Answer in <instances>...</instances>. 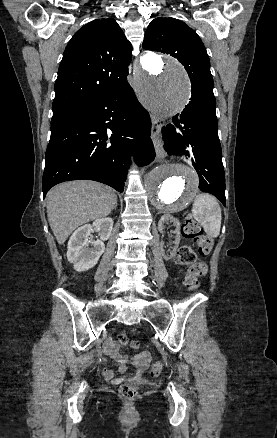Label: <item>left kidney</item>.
I'll return each mask as SVG.
<instances>
[{
  "mask_svg": "<svg viewBox=\"0 0 277 438\" xmlns=\"http://www.w3.org/2000/svg\"><path fill=\"white\" fill-rule=\"evenodd\" d=\"M174 222V226H176V230L175 232H173V234H176V238H175V246L173 248L174 252H176L179 244H180V222L179 220H177V218H173L172 214H163L162 218H160L159 222H158V230L159 232H163V224H165V222ZM162 256L164 258V260H171L173 254H171V256H168V254H164V252H162Z\"/></svg>",
  "mask_w": 277,
  "mask_h": 438,
  "instance_id": "5707ae66",
  "label": "left kidney"
}]
</instances>
